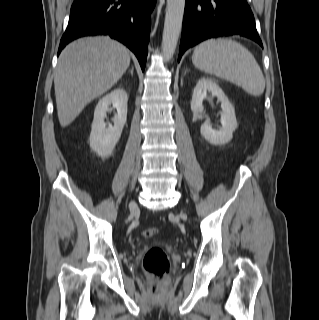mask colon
I'll return each instance as SVG.
<instances>
[{
    "instance_id": "obj_1",
    "label": "colon",
    "mask_w": 319,
    "mask_h": 320,
    "mask_svg": "<svg viewBox=\"0 0 319 320\" xmlns=\"http://www.w3.org/2000/svg\"><path fill=\"white\" fill-rule=\"evenodd\" d=\"M158 234L155 228L143 230L145 238H152ZM144 271L151 279V293L161 296L165 290L164 279L170 272V262L165 251L160 247L150 248L143 258Z\"/></svg>"
}]
</instances>
